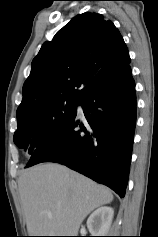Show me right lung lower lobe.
I'll return each mask as SVG.
<instances>
[{"label": "right lung lower lobe", "mask_w": 158, "mask_h": 237, "mask_svg": "<svg viewBox=\"0 0 158 237\" xmlns=\"http://www.w3.org/2000/svg\"><path fill=\"white\" fill-rule=\"evenodd\" d=\"M76 114L31 156L26 167L57 162L125 195L136 123L135 83L128 65L92 89Z\"/></svg>", "instance_id": "98d812e1"}]
</instances>
